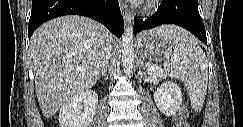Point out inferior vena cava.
<instances>
[{"label":"inferior vena cava","mask_w":243,"mask_h":127,"mask_svg":"<svg viewBox=\"0 0 243 127\" xmlns=\"http://www.w3.org/2000/svg\"><path fill=\"white\" fill-rule=\"evenodd\" d=\"M104 50H105V56H104V66H103V68L105 67V65L107 64V60L111 56V45H107Z\"/></svg>","instance_id":"inferior-vena-cava-1"}]
</instances>
